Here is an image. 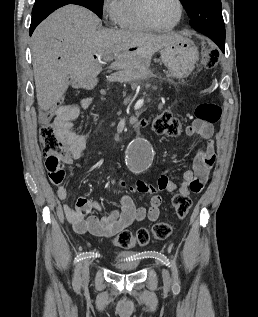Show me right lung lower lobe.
<instances>
[{"label":"right lung lower lobe","instance_id":"obj_1","mask_svg":"<svg viewBox=\"0 0 258 317\" xmlns=\"http://www.w3.org/2000/svg\"><path fill=\"white\" fill-rule=\"evenodd\" d=\"M77 4L92 11L89 0H36L32 9V21L30 25V35H32L37 25L44 20L54 10L67 5Z\"/></svg>","mask_w":258,"mask_h":317}]
</instances>
